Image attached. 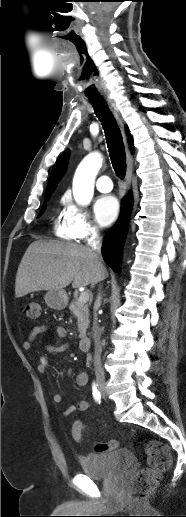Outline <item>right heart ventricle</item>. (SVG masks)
Masks as SVG:
<instances>
[{
  "label": "right heart ventricle",
  "mask_w": 186,
  "mask_h": 517,
  "mask_svg": "<svg viewBox=\"0 0 186 517\" xmlns=\"http://www.w3.org/2000/svg\"><path fill=\"white\" fill-rule=\"evenodd\" d=\"M54 232L56 236L65 240L72 241L74 239V237L69 232L67 225L63 220H61V218H57L54 221Z\"/></svg>",
  "instance_id": "obj_1"
}]
</instances>
